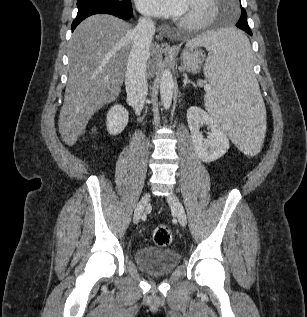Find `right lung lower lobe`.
<instances>
[{
    "label": "right lung lower lobe",
    "instance_id": "1",
    "mask_svg": "<svg viewBox=\"0 0 307 317\" xmlns=\"http://www.w3.org/2000/svg\"><path fill=\"white\" fill-rule=\"evenodd\" d=\"M95 14H110L121 19H128L132 17V6L130 3L122 7H115L108 4H102L97 2L82 5L78 7L77 16L72 23V32L81 21Z\"/></svg>",
    "mask_w": 307,
    "mask_h": 317
}]
</instances>
